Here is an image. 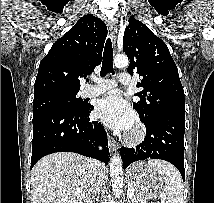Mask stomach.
Returning a JSON list of instances; mask_svg holds the SVG:
<instances>
[{"mask_svg":"<svg viewBox=\"0 0 214 203\" xmlns=\"http://www.w3.org/2000/svg\"><path fill=\"white\" fill-rule=\"evenodd\" d=\"M127 178L139 203L157 198L164 190L163 176L144 162L134 163Z\"/></svg>","mask_w":214,"mask_h":203,"instance_id":"1","label":"stomach"}]
</instances>
